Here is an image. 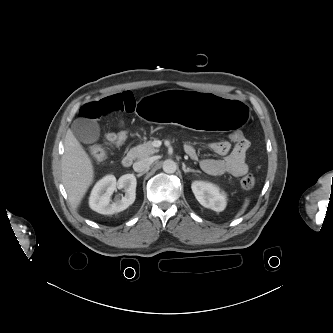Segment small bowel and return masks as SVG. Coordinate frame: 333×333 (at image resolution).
Listing matches in <instances>:
<instances>
[{
	"instance_id": "small-bowel-1",
	"label": "small bowel",
	"mask_w": 333,
	"mask_h": 333,
	"mask_svg": "<svg viewBox=\"0 0 333 333\" xmlns=\"http://www.w3.org/2000/svg\"><path fill=\"white\" fill-rule=\"evenodd\" d=\"M135 108L136 102L134 96L132 93L126 91L85 103L79 109V115L82 120H97L115 111L133 112ZM107 140L113 143L114 133H109ZM249 147L250 143L247 139L235 143L233 146L227 142L211 143V150L218 155H222L223 158L201 159L200 166L207 174L213 176L230 174L235 177H241L248 171L246 154ZM184 150L190 158L198 159L196 148L193 145H186Z\"/></svg>"
}]
</instances>
